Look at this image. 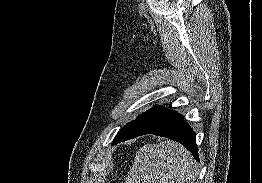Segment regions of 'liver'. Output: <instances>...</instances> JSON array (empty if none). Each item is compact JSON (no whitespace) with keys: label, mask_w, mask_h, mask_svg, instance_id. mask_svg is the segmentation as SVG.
<instances>
[{"label":"liver","mask_w":262,"mask_h":183,"mask_svg":"<svg viewBox=\"0 0 262 183\" xmlns=\"http://www.w3.org/2000/svg\"><path fill=\"white\" fill-rule=\"evenodd\" d=\"M197 174L188 150L166 140L147 144L136 152L126 183H193Z\"/></svg>","instance_id":"liver-1"}]
</instances>
